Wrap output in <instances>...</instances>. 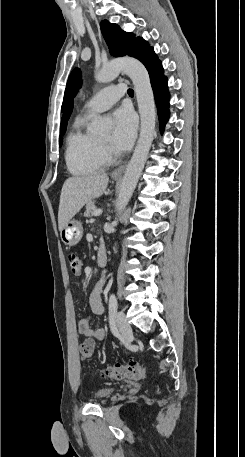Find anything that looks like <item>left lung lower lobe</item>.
<instances>
[{
	"label": "left lung lower lobe",
	"mask_w": 245,
	"mask_h": 457,
	"mask_svg": "<svg viewBox=\"0 0 245 457\" xmlns=\"http://www.w3.org/2000/svg\"><path fill=\"white\" fill-rule=\"evenodd\" d=\"M141 62L147 68L151 86L154 92L155 102L158 111L160 131L163 133L165 124L169 119V93L168 80L163 75V67L161 61L158 60L154 51L146 55Z\"/></svg>",
	"instance_id": "obj_1"
}]
</instances>
